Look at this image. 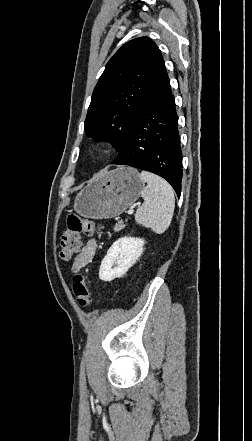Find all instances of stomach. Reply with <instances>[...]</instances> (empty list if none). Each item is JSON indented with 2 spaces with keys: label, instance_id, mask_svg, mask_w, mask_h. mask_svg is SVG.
<instances>
[{
  "label": "stomach",
  "instance_id": "obj_1",
  "mask_svg": "<svg viewBox=\"0 0 252 441\" xmlns=\"http://www.w3.org/2000/svg\"><path fill=\"white\" fill-rule=\"evenodd\" d=\"M144 181L136 169L119 167L107 171L76 196L74 209L91 219L119 216L141 195Z\"/></svg>",
  "mask_w": 252,
  "mask_h": 441
}]
</instances>
